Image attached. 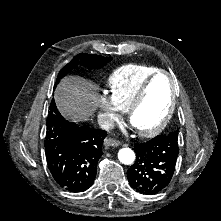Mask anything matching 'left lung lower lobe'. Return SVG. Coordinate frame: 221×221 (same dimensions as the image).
I'll return each mask as SVG.
<instances>
[{"instance_id":"left-lung-lower-lobe-1","label":"left lung lower lobe","mask_w":221,"mask_h":221,"mask_svg":"<svg viewBox=\"0 0 221 221\" xmlns=\"http://www.w3.org/2000/svg\"><path fill=\"white\" fill-rule=\"evenodd\" d=\"M136 161L127 171L133 189L145 195L162 191L171 181L179 154L178 137L158 135L135 144Z\"/></svg>"}]
</instances>
